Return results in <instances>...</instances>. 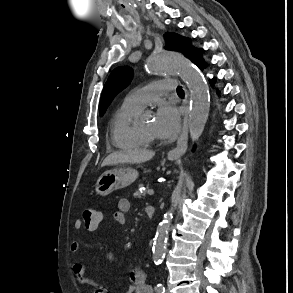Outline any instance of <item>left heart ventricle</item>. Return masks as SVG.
<instances>
[{
    "mask_svg": "<svg viewBox=\"0 0 293 293\" xmlns=\"http://www.w3.org/2000/svg\"><path fill=\"white\" fill-rule=\"evenodd\" d=\"M140 130L146 134L153 136V137L157 136L155 129H154V121L153 120L147 122Z\"/></svg>",
    "mask_w": 293,
    "mask_h": 293,
    "instance_id": "obj_1",
    "label": "left heart ventricle"
}]
</instances>
